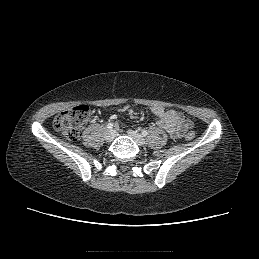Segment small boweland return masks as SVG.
Masks as SVG:
<instances>
[{
    "mask_svg": "<svg viewBox=\"0 0 259 259\" xmlns=\"http://www.w3.org/2000/svg\"><path fill=\"white\" fill-rule=\"evenodd\" d=\"M127 110L128 107L120 109V111ZM149 111L156 118L157 126L164 129L173 139L182 137L193 126V122L189 118L174 109H164L154 106Z\"/></svg>",
    "mask_w": 259,
    "mask_h": 259,
    "instance_id": "1",
    "label": "small bowel"
}]
</instances>
